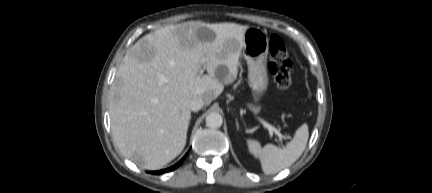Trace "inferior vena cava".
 Here are the masks:
<instances>
[{
	"label": "inferior vena cava",
	"instance_id": "obj_1",
	"mask_svg": "<svg viewBox=\"0 0 432 193\" xmlns=\"http://www.w3.org/2000/svg\"><path fill=\"white\" fill-rule=\"evenodd\" d=\"M204 106V100L200 96H194L190 102V109L194 112L199 111Z\"/></svg>",
	"mask_w": 432,
	"mask_h": 193
}]
</instances>
